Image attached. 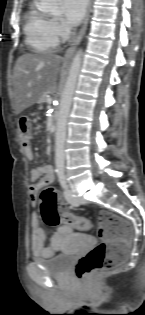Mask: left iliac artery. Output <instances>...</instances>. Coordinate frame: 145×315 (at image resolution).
<instances>
[{
  "label": "left iliac artery",
  "instance_id": "44dca946",
  "mask_svg": "<svg viewBox=\"0 0 145 315\" xmlns=\"http://www.w3.org/2000/svg\"><path fill=\"white\" fill-rule=\"evenodd\" d=\"M58 178H59V182H60L62 188L66 189L68 187V185H67V178H66L65 174L59 173Z\"/></svg>",
  "mask_w": 145,
  "mask_h": 315
}]
</instances>
